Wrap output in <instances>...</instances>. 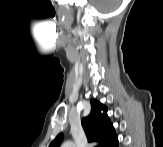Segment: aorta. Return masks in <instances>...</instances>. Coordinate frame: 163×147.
Instances as JSON below:
<instances>
[{"label": "aorta", "mask_w": 163, "mask_h": 147, "mask_svg": "<svg viewBox=\"0 0 163 147\" xmlns=\"http://www.w3.org/2000/svg\"><path fill=\"white\" fill-rule=\"evenodd\" d=\"M64 147H74V144L72 142H66L63 145Z\"/></svg>", "instance_id": "obj_1"}]
</instances>
